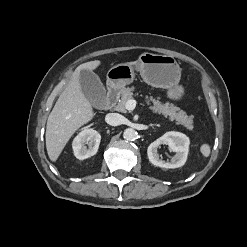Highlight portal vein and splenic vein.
Segmentation results:
<instances>
[{
	"label": "portal vein and splenic vein",
	"instance_id": "portal-vein-and-splenic-vein-1",
	"mask_svg": "<svg viewBox=\"0 0 247 247\" xmlns=\"http://www.w3.org/2000/svg\"><path fill=\"white\" fill-rule=\"evenodd\" d=\"M135 107H136V100L134 99L128 100L125 104L126 110H129V111L134 110Z\"/></svg>",
	"mask_w": 247,
	"mask_h": 247
}]
</instances>
